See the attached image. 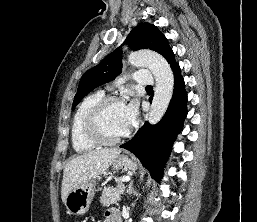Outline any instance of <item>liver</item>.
Wrapping results in <instances>:
<instances>
[{
  "label": "liver",
  "mask_w": 257,
  "mask_h": 222,
  "mask_svg": "<svg viewBox=\"0 0 257 222\" xmlns=\"http://www.w3.org/2000/svg\"><path fill=\"white\" fill-rule=\"evenodd\" d=\"M118 148L98 149L70 159L64 168L61 198L65 204L68 193L80 184L105 173L119 156Z\"/></svg>",
  "instance_id": "obj_1"
}]
</instances>
